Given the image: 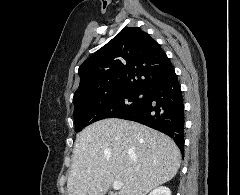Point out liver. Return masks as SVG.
I'll use <instances>...</instances> for the list:
<instances>
[{"label": "liver", "instance_id": "6515ba94", "mask_svg": "<svg viewBox=\"0 0 240 195\" xmlns=\"http://www.w3.org/2000/svg\"><path fill=\"white\" fill-rule=\"evenodd\" d=\"M68 195H146L176 175L181 153L175 141L128 119H99L76 135ZM121 181L119 193L109 191Z\"/></svg>", "mask_w": 240, "mask_h": 195}]
</instances>
